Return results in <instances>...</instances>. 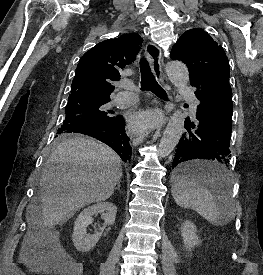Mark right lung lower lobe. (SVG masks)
I'll use <instances>...</instances> for the list:
<instances>
[{"instance_id": "1", "label": "right lung lower lobe", "mask_w": 263, "mask_h": 275, "mask_svg": "<svg viewBox=\"0 0 263 275\" xmlns=\"http://www.w3.org/2000/svg\"><path fill=\"white\" fill-rule=\"evenodd\" d=\"M69 133H80L96 138L110 146L124 162L131 159L132 148L125 133V123L121 116L111 117L99 124H86L73 127Z\"/></svg>"}]
</instances>
